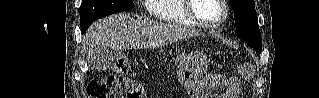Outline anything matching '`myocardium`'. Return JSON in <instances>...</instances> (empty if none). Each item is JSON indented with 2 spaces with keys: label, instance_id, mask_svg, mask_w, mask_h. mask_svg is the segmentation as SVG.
<instances>
[{
  "label": "myocardium",
  "instance_id": "myocardium-1",
  "mask_svg": "<svg viewBox=\"0 0 319 98\" xmlns=\"http://www.w3.org/2000/svg\"><path fill=\"white\" fill-rule=\"evenodd\" d=\"M219 4L223 8V16L216 23H207L196 16L193 12V0H184V9L187 17L196 25L205 29H218L222 25H224L228 19V6L225 0H218Z\"/></svg>",
  "mask_w": 319,
  "mask_h": 98
}]
</instances>
